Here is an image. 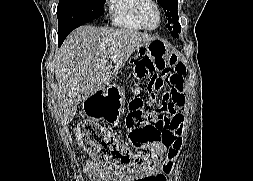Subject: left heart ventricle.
<instances>
[{
	"label": "left heart ventricle",
	"mask_w": 253,
	"mask_h": 181,
	"mask_svg": "<svg viewBox=\"0 0 253 181\" xmlns=\"http://www.w3.org/2000/svg\"><path fill=\"white\" fill-rule=\"evenodd\" d=\"M144 19L148 26L154 27L158 23V16L155 8L148 5L144 10Z\"/></svg>",
	"instance_id": "left-heart-ventricle-1"
}]
</instances>
